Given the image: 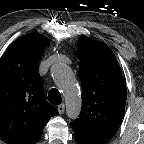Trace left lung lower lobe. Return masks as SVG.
Masks as SVG:
<instances>
[{"instance_id": "1", "label": "left lung lower lobe", "mask_w": 144, "mask_h": 144, "mask_svg": "<svg viewBox=\"0 0 144 144\" xmlns=\"http://www.w3.org/2000/svg\"><path fill=\"white\" fill-rule=\"evenodd\" d=\"M78 143H80V144H87V143H84V142H81V141H78V140H76Z\"/></svg>"}]
</instances>
